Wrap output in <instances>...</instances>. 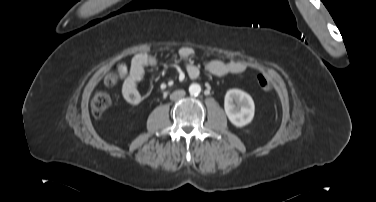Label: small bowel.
<instances>
[{
	"mask_svg": "<svg viewBox=\"0 0 376 202\" xmlns=\"http://www.w3.org/2000/svg\"><path fill=\"white\" fill-rule=\"evenodd\" d=\"M178 54L185 63L187 75L191 79L199 78L201 75L200 69L190 62L194 49L190 46H183L179 49ZM157 63V58L154 55L139 53L132 58L129 65L121 63L118 66L119 75L123 79L121 93L125 102L130 105H138L142 102L143 97L138 85L145 75V70L148 67H155ZM205 69L215 76H224L227 74H241L246 71L247 66L240 61L211 60L206 63Z\"/></svg>",
	"mask_w": 376,
	"mask_h": 202,
	"instance_id": "small-bowel-1",
	"label": "small bowel"
}]
</instances>
